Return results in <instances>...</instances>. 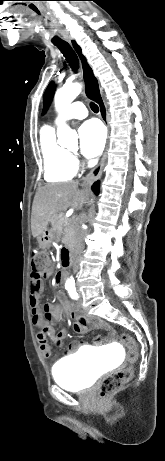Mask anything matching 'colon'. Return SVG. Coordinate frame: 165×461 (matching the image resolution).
Listing matches in <instances>:
<instances>
[{
  "label": "colon",
  "mask_w": 165,
  "mask_h": 461,
  "mask_svg": "<svg viewBox=\"0 0 165 461\" xmlns=\"http://www.w3.org/2000/svg\"><path fill=\"white\" fill-rule=\"evenodd\" d=\"M31 286L39 294L41 278L50 272L48 257L43 253H35L32 258ZM122 344L128 349V360L130 365L120 368L103 378L99 386V396L101 399H107L112 394L120 390L133 375V364L139 357L138 348L135 340L128 334L121 335Z\"/></svg>",
  "instance_id": "colon-1"
}]
</instances>
